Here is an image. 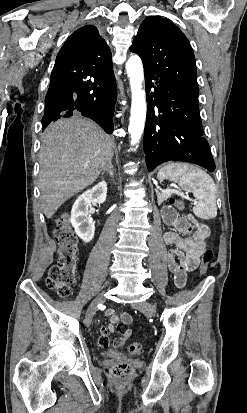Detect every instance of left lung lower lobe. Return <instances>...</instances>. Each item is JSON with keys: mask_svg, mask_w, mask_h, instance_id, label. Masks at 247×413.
Segmentation results:
<instances>
[{"mask_svg": "<svg viewBox=\"0 0 247 413\" xmlns=\"http://www.w3.org/2000/svg\"><path fill=\"white\" fill-rule=\"evenodd\" d=\"M148 101L144 152L148 170L172 160L200 165L215 163L199 114L198 95L144 69Z\"/></svg>", "mask_w": 247, "mask_h": 413, "instance_id": "1", "label": "left lung lower lobe"}]
</instances>
